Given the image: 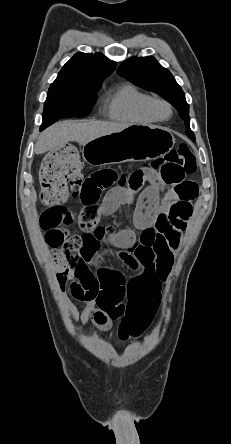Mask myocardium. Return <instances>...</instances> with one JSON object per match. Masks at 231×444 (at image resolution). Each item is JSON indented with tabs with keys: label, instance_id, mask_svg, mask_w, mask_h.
<instances>
[{
	"label": "myocardium",
	"instance_id": "f54148a6",
	"mask_svg": "<svg viewBox=\"0 0 231 444\" xmlns=\"http://www.w3.org/2000/svg\"><path fill=\"white\" fill-rule=\"evenodd\" d=\"M157 105H164L167 108L168 114L165 117L161 116L157 112L156 110ZM146 111L150 116H152L157 121H167L173 115V106L167 99L163 97H151L147 102Z\"/></svg>",
	"mask_w": 231,
	"mask_h": 444
}]
</instances>
